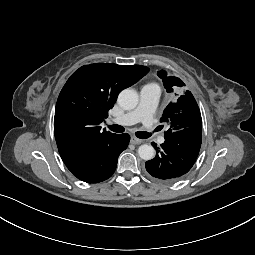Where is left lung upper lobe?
<instances>
[{
	"label": "left lung upper lobe",
	"instance_id": "left-lung-upper-lobe-1",
	"mask_svg": "<svg viewBox=\"0 0 255 255\" xmlns=\"http://www.w3.org/2000/svg\"><path fill=\"white\" fill-rule=\"evenodd\" d=\"M157 75L163 80L168 93H174L175 99L163 111L161 122H168L170 128L164 137L185 128L202 124V118L195 98L190 91H183L184 83L176 77H170L160 70Z\"/></svg>",
	"mask_w": 255,
	"mask_h": 255
}]
</instances>
